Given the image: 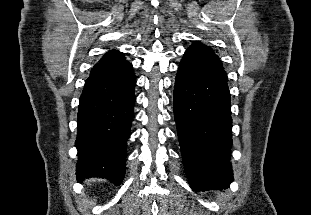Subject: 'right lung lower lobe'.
<instances>
[{
	"label": "right lung lower lobe",
	"instance_id": "1",
	"mask_svg": "<svg viewBox=\"0 0 311 215\" xmlns=\"http://www.w3.org/2000/svg\"><path fill=\"white\" fill-rule=\"evenodd\" d=\"M136 78L129 61L97 63L80 96L77 177L124 178L126 145L135 103Z\"/></svg>",
	"mask_w": 311,
	"mask_h": 215
}]
</instances>
